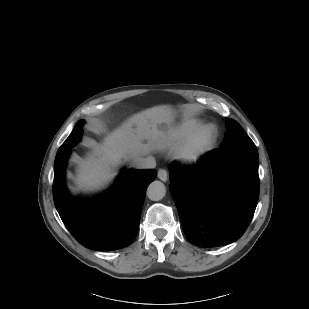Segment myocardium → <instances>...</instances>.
Here are the masks:
<instances>
[{"mask_svg": "<svg viewBox=\"0 0 309 309\" xmlns=\"http://www.w3.org/2000/svg\"><path fill=\"white\" fill-rule=\"evenodd\" d=\"M216 125H201L191 132L177 151L179 160L186 165H196L212 150L218 139Z\"/></svg>", "mask_w": 309, "mask_h": 309, "instance_id": "1", "label": "myocardium"}]
</instances>
